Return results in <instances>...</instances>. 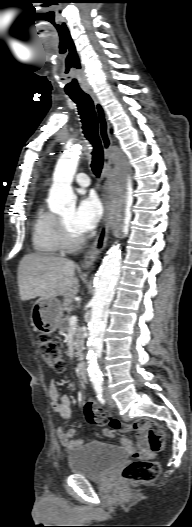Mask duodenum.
<instances>
[{
    "label": "duodenum",
    "instance_id": "duodenum-1",
    "mask_svg": "<svg viewBox=\"0 0 192 527\" xmlns=\"http://www.w3.org/2000/svg\"><path fill=\"white\" fill-rule=\"evenodd\" d=\"M77 371L79 374V377L83 380H87V374H86V365L84 362H79L77 366Z\"/></svg>",
    "mask_w": 192,
    "mask_h": 527
}]
</instances>
